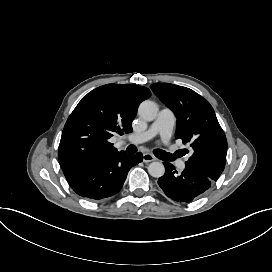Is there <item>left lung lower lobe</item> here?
Wrapping results in <instances>:
<instances>
[{"label": "left lung lower lobe", "mask_w": 272, "mask_h": 272, "mask_svg": "<svg viewBox=\"0 0 272 272\" xmlns=\"http://www.w3.org/2000/svg\"><path fill=\"white\" fill-rule=\"evenodd\" d=\"M165 174L158 179V184L166 196L179 203H190L204 195L214 181L201 172L185 168L181 174L175 167L165 162Z\"/></svg>", "instance_id": "obj_1"}]
</instances>
